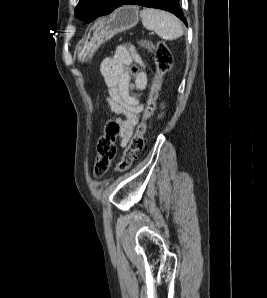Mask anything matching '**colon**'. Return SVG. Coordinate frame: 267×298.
<instances>
[{
	"label": "colon",
	"mask_w": 267,
	"mask_h": 298,
	"mask_svg": "<svg viewBox=\"0 0 267 298\" xmlns=\"http://www.w3.org/2000/svg\"><path fill=\"white\" fill-rule=\"evenodd\" d=\"M144 46L154 51L156 72L152 79L149 95L144 106L143 118L117 165L119 172L127 171L132 165L137 152L143 149L145 135L148 131V123L156 109V102L163 77L171 69L173 63L172 54L165 44L152 45L151 43L145 42ZM132 72L135 73L136 69L134 68ZM118 136L119 133L116 124L112 121L106 123L104 133L100 136L97 143L95 160L96 175L102 176L110 169L116 153Z\"/></svg>",
	"instance_id": "5ec220e1"
}]
</instances>
